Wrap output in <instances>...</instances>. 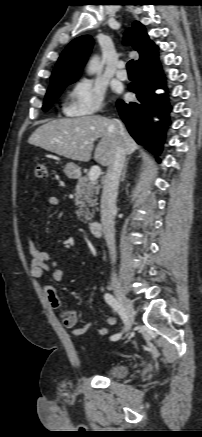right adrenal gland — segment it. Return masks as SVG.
<instances>
[{
  "label": "right adrenal gland",
  "mask_w": 202,
  "mask_h": 437,
  "mask_svg": "<svg viewBox=\"0 0 202 437\" xmlns=\"http://www.w3.org/2000/svg\"><path fill=\"white\" fill-rule=\"evenodd\" d=\"M128 160H129V158H127L126 161H125V164H124V167H123L121 181H124L125 174H126V168H127V164H128Z\"/></svg>",
  "instance_id": "obj_1"
}]
</instances>
